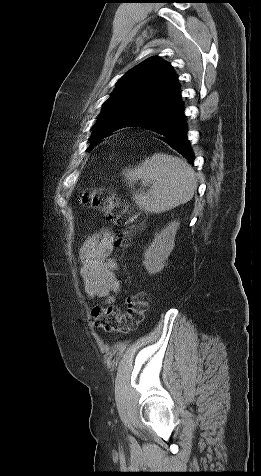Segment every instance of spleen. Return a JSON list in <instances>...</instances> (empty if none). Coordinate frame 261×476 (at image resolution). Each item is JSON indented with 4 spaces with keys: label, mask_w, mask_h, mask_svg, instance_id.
<instances>
[{
    "label": "spleen",
    "mask_w": 261,
    "mask_h": 476,
    "mask_svg": "<svg viewBox=\"0 0 261 476\" xmlns=\"http://www.w3.org/2000/svg\"><path fill=\"white\" fill-rule=\"evenodd\" d=\"M133 188V200L149 213H162L190 201L197 187L194 170L184 160L164 153H155L135 168L123 172ZM141 180L149 190L137 192L134 184Z\"/></svg>",
    "instance_id": "1"
}]
</instances>
